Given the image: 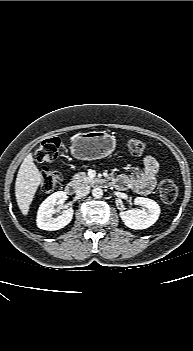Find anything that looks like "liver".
<instances>
[{
	"instance_id": "1",
	"label": "liver",
	"mask_w": 193,
	"mask_h": 351,
	"mask_svg": "<svg viewBox=\"0 0 193 351\" xmlns=\"http://www.w3.org/2000/svg\"><path fill=\"white\" fill-rule=\"evenodd\" d=\"M42 182V175L34 164L33 156L29 153L23 160L15 182V196L21 213L26 216L30 204Z\"/></svg>"
}]
</instances>
